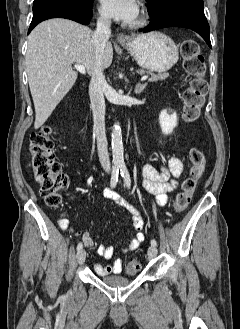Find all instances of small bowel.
I'll use <instances>...</instances> for the list:
<instances>
[{
	"mask_svg": "<svg viewBox=\"0 0 240 329\" xmlns=\"http://www.w3.org/2000/svg\"><path fill=\"white\" fill-rule=\"evenodd\" d=\"M183 173V166L176 158H171L166 164L160 165L159 168L145 164L142 167L143 186L147 191L156 195L158 204L164 205L168 201V194L177 187V179ZM105 196L111 199L118 206L125 208L130 213L135 233L132 236L128 246H126L123 250L125 252H132L136 250L145 239V235L142 231L144 227V219L141 213L136 206L114 191L106 190ZM59 226L61 229L65 230L68 227V223L64 220L59 223ZM82 241L86 247H91L94 244L93 238L88 231L83 233ZM97 253L102 258L110 259L114 255V249L112 246L101 244L97 248ZM122 268V259H116L113 263L107 265H102L101 263H96L94 265V270L99 276L118 274L122 271Z\"/></svg>",
	"mask_w": 240,
	"mask_h": 329,
	"instance_id": "c3829d8e",
	"label": "small bowel"
}]
</instances>
